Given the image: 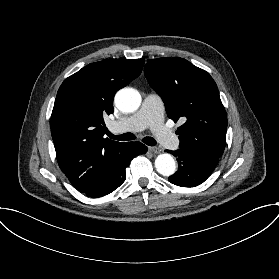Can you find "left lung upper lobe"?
<instances>
[{
    "label": "left lung upper lobe",
    "mask_w": 279,
    "mask_h": 279,
    "mask_svg": "<svg viewBox=\"0 0 279 279\" xmlns=\"http://www.w3.org/2000/svg\"><path fill=\"white\" fill-rule=\"evenodd\" d=\"M144 74L163 99L168 117L186 120L176 132L180 147L220 158L227 116L210 74L182 58L149 59Z\"/></svg>",
    "instance_id": "obj_1"
}]
</instances>
